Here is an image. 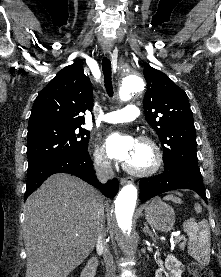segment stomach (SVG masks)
I'll use <instances>...</instances> for the list:
<instances>
[{
	"mask_svg": "<svg viewBox=\"0 0 221 277\" xmlns=\"http://www.w3.org/2000/svg\"><path fill=\"white\" fill-rule=\"evenodd\" d=\"M146 221L163 232L170 231L175 223V213L171 206L160 198H155L145 208Z\"/></svg>",
	"mask_w": 221,
	"mask_h": 277,
	"instance_id": "0dacf381",
	"label": "stomach"
}]
</instances>
